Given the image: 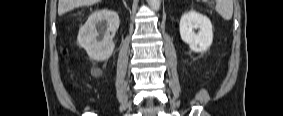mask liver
<instances>
[{"mask_svg":"<svg viewBox=\"0 0 283 116\" xmlns=\"http://www.w3.org/2000/svg\"><path fill=\"white\" fill-rule=\"evenodd\" d=\"M97 2H99V0H59L58 14L61 16L76 7L93 5Z\"/></svg>","mask_w":283,"mask_h":116,"instance_id":"liver-1","label":"liver"}]
</instances>
